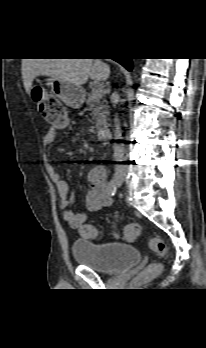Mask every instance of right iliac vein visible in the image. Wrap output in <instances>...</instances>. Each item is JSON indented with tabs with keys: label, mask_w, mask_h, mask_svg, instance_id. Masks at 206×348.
<instances>
[{
	"label": "right iliac vein",
	"mask_w": 206,
	"mask_h": 348,
	"mask_svg": "<svg viewBox=\"0 0 206 348\" xmlns=\"http://www.w3.org/2000/svg\"><path fill=\"white\" fill-rule=\"evenodd\" d=\"M122 181H123V179H122L121 177H117V178H116V182H117L118 184H120Z\"/></svg>",
	"instance_id": "63e3f726"
}]
</instances>
